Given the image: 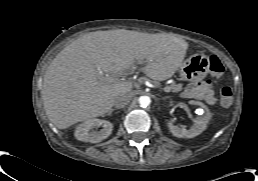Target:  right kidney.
Masks as SVG:
<instances>
[{
    "instance_id": "right-kidney-1",
    "label": "right kidney",
    "mask_w": 258,
    "mask_h": 181,
    "mask_svg": "<svg viewBox=\"0 0 258 181\" xmlns=\"http://www.w3.org/2000/svg\"><path fill=\"white\" fill-rule=\"evenodd\" d=\"M99 127H102L100 131L94 130ZM112 130L113 125L109 121L93 118L77 125L74 135L79 141L99 143L110 136Z\"/></svg>"
}]
</instances>
